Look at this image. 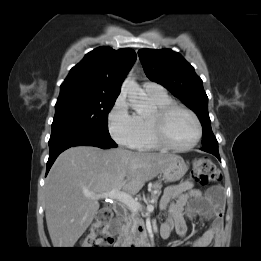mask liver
<instances>
[{"mask_svg":"<svg viewBox=\"0 0 261 261\" xmlns=\"http://www.w3.org/2000/svg\"><path fill=\"white\" fill-rule=\"evenodd\" d=\"M176 155L76 146L54 162L44 187L45 215L55 248H72L96 216L98 195L112 189L137 194Z\"/></svg>","mask_w":261,"mask_h":261,"instance_id":"1","label":"liver"}]
</instances>
